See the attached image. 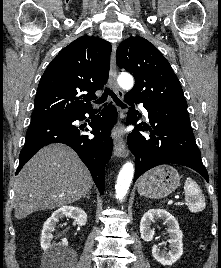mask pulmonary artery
Instances as JSON below:
<instances>
[{
  "label": "pulmonary artery",
  "instance_id": "obj_1",
  "mask_svg": "<svg viewBox=\"0 0 221 268\" xmlns=\"http://www.w3.org/2000/svg\"><path fill=\"white\" fill-rule=\"evenodd\" d=\"M139 107L141 108L142 112H143L145 115H148L147 110L144 108V106H143L142 104H140Z\"/></svg>",
  "mask_w": 221,
  "mask_h": 268
}]
</instances>
